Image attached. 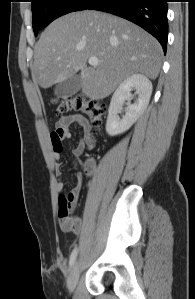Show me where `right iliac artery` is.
Instances as JSON below:
<instances>
[{
  "instance_id": "right-iliac-artery-1",
  "label": "right iliac artery",
  "mask_w": 195,
  "mask_h": 299,
  "mask_svg": "<svg viewBox=\"0 0 195 299\" xmlns=\"http://www.w3.org/2000/svg\"><path fill=\"white\" fill-rule=\"evenodd\" d=\"M77 253H78V248H75L71 255H70V260H69V266L72 267L74 265V262L76 260L77 257Z\"/></svg>"
}]
</instances>
